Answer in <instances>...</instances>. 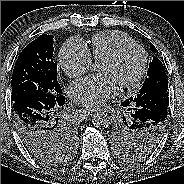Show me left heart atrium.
<instances>
[{
	"instance_id": "obj_1",
	"label": "left heart atrium",
	"mask_w": 184,
	"mask_h": 184,
	"mask_svg": "<svg viewBox=\"0 0 184 184\" xmlns=\"http://www.w3.org/2000/svg\"><path fill=\"white\" fill-rule=\"evenodd\" d=\"M118 83L110 75L98 74L82 78L70 87L73 100L86 108L96 109L118 93Z\"/></svg>"
}]
</instances>
